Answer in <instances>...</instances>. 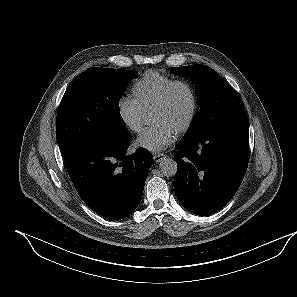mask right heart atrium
<instances>
[{
  "instance_id": "right-heart-atrium-1",
  "label": "right heart atrium",
  "mask_w": 297,
  "mask_h": 297,
  "mask_svg": "<svg viewBox=\"0 0 297 297\" xmlns=\"http://www.w3.org/2000/svg\"><path fill=\"white\" fill-rule=\"evenodd\" d=\"M116 110L119 120L127 130L132 133H139L142 130L146 114L133 98L120 97Z\"/></svg>"
}]
</instances>
